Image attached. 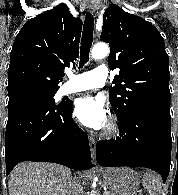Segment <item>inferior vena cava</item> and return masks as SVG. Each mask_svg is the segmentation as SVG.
<instances>
[{
    "label": "inferior vena cava",
    "instance_id": "1",
    "mask_svg": "<svg viewBox=\"0 0 178 195\" xmlns=\"http://www.w3.org/2000/svg\"><path fill=\"white\" fill-rule=\"evenodd\" d=\"M81 190L82 189H81L80 185L77 184L76 181L72 180L68 194L69 195H80Z\"/></svg>",
    "mask_w": 178,
    "mask_h": 195
}]
</instances>
